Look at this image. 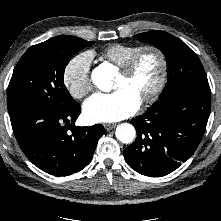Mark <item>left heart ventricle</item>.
<instances>
[{
  "label": "left heart ventricle",
  "instance_id": "b2bd125f",
  "mask_svg": "<svg viewBox=\"0 0 221 221\" xmlns=\"http://www.w3.org/2000/svg\"><path fill=\"white\" fill-rule=\"evenodd\" d=\"M159 71L158 57L152 52H147L141 56L131 75L124 76L119 73L115 88L125 87L141 100L156 84Z\"/></svg>",
  "mask_w": 221,
  "mask_h": 221
}]
</instances>
